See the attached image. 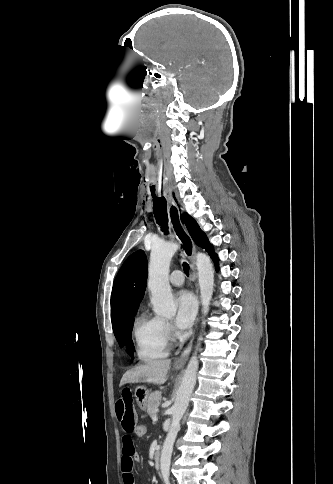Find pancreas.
Returning <instances> with one entry per match:
<instances>
[{
  "label": "pancreas",
  "instance_id": "pancreas-1",
  "mask_svg": "<svg viewBox=\"0 0 333 484\" xmlns=\"http://www.w3.org/2000/svg\"><path fill=\"white\" fill-rule=\"evenodd\" d=\"M161 400V392L156 391L151 393L147 399V413L152 418L156 416L155 409L159 406Z\"/></svg>",
  "mask_w": 333,
  "mask_h": 484
}]
</instances>
